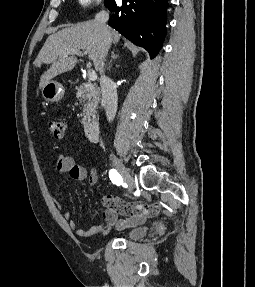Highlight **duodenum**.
I'll return each instance as SVG.
<instances>
[{
    "instance_id": "duodenum-1",
    "label": "duodenum",
    "mask_w": 255,
    "mask_h": 287,
    "mask_svg": "<svg viewBox=\"0 0 255 287\" xmlns=\"http://www.w3.org/2000/svg\"><path fill=\"white\" fill-rule=\"evenodd\" d=\"M100 123L97 119L90 121L85 129L86 137L91 142H96L99 137Z\"/></svg>"
}]
</instances>
